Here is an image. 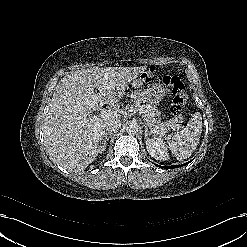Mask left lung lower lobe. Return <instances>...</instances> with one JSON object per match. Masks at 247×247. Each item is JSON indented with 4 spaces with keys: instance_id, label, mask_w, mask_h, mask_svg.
<instances>
[{
    "instance_id": "left-lung-lower-lobe-1",
    "label": "left lung lower lobe",
    "mask_w": 247,
    "mask_h": 247,
    "mask_svg": "<svg viewBox=\"0 0 247 247\" xmlns=\"http://www.w3.org/2000/svg\"><path fill=\"white\" fill-rule=\"evenodd\" d=\"M188 163H189V162H187V163H185V164H183V165H186V164H188ZM158 167H160V168H162V169H163V168H164V169H170V168H176V167H181V166H180V165H173V166H166V167L164 166V167H163V166H159V165H158Z\"/></svg>"
}]
</instances>
